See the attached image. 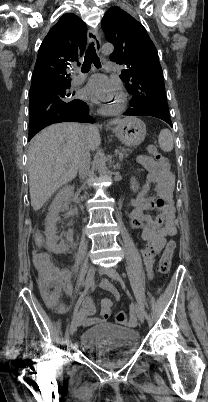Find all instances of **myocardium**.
Instances as JSON below:
<instances>
[{
	"label": "myocardium",
	"instance_id": "myocardium-1",
	"mask_svg": "<svg viewBox=\"0 0 208 402\" xmlns=\"http://www.w3.org/2000/svg\"><path fill=\"white\" fill-rule=\"evenodd\" d=\"M121 95H120V97L118 98V102L119 103H121V104H123L124 102H125V98L123 97V94L122 93H120Z\"/></svg>",
	"mask_w": 208,
	"mask_h": 402
}]
</instances>
